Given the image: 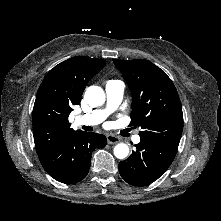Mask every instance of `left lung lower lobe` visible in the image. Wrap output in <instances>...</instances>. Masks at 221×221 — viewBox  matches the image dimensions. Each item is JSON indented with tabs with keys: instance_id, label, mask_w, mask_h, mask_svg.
<instances>
[{
	"instance_id": "obj_1",
	"label": "left lung lower lobe",
	"mask_w": 221,
	"mask_h": 221,
	"mask_svg": "<svg viewBox=\"0 0 221 221\" xmlns=\"http://www.w3.org/2000/svg\"><path fill=\"white\" fill-rule=\"evenodd\" d=\"M132 155L119 163L122 178L133 186H146L157 180L171 165L177 148L140 137Z\"/></svg>"
}]
</instances>
